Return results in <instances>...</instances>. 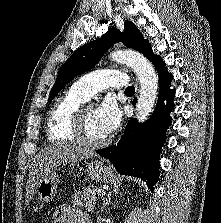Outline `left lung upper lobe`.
Returning a JSON list of instances; mask_svg holds the SVG:
<instances>
[{
	"label": "left lung upper lobe",
	"instance_id": "1",
	"mask_svg": "<svg viewBox=\"0 0 221 223\" xmlns=\"http://www.w3.org/2000/svg\"><path fill=\"white\" fill-rule=\"evenodd\" d=\"M124 26L123 33L112 27L101 38L83 45L72 54L58 73L50 92L49 102L69 81L94 67L108 48L119 41H122L126 47L141 52L154 63L159 56L153 54L149 42L143 38L138 28L131 21H126Z\"/></svg>",
	"mask_w": 221,
	"mask_h": 223
}]
</instances>
